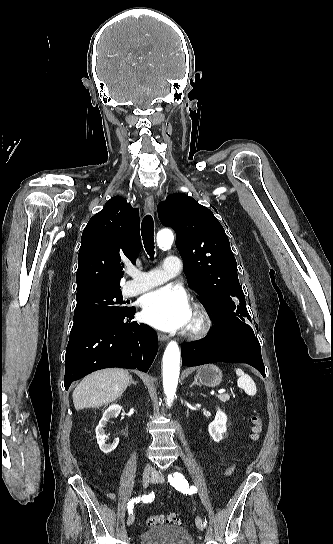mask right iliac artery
<instances>
[{
	"mask_svg": "<svg viewBox=\"0 0 333 544\" xmlns=\"http://www.w3.org/2000/svg\"><path fill=\"white\" fill-rule=\"evenodd\" d=\"M152 499H154V497L152 495H145V496H142V497H136V498L131 499L128 502V505H127V509H128L129 514H132L135 503L137 504L140 501L151 502Z\"/></svg>",
	"mask_w": 333,
	"mask_h": 544,
	"instance_id": "82829eb1",
	"label": "right iliac artery"
}]
</instances>
